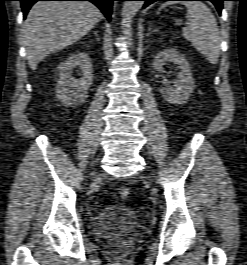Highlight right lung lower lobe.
<instances>
[{"label": "right lung lower lobe", "instance_id": "98d812e1", "mask_svg": "<svg viewBox=\"0 0 247 265\" xmlns=\"http://www.w3.org/2000/svg\"><path fill=\"white\" fill-rule=\"evenodd\" d=\"M21 1V7L24 17H26L31 6L37 1H90L95 4L102 13L106 16L107 20L110 21L112 13V3L117 0H19Z\"/></svg>", "mask_w": 247, "mask_h": 265}]
</instances>
